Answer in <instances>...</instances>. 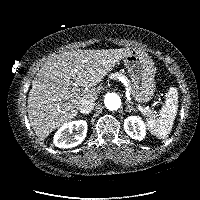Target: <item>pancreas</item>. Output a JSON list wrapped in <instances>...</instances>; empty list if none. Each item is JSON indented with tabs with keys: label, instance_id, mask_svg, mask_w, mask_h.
Segmentation results:
<instances>
[{
	"label": "pancreas",
	"instance_id": "1",
	"mask_svg": "<svg viewBox=\"0 0 200 200\" xmlns=\"http://www.w3.org/2000/svg\"><path fill=\"white\" fill-rule=\"evenodd\" d=\"M119 76H123V74L116 72V73L110 74V75H109V78L114 79V80H117V78H118Z\"/></svg>",
	"mask_w": 200,
	"mask_h": 200
}]
</instances>
